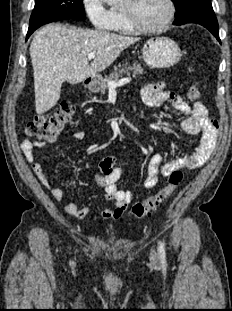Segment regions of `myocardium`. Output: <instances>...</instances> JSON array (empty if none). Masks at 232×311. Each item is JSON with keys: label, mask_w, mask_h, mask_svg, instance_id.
I'll list each match as a JSON object with an SVG mask.
<instances>
[{"label": "myocardium", "mask_w": 232, "mask_h": 311, "mask_svg": "<svg viewBox=\"0 0 232 311\" xmlns=\"http://www.w3.org/2000/svg\"><path fill=\"white\" fill-rule=\"evenodd\" d=\"M165 2L168 8L167 15L161 23L153 27H146L139 24L135 19L132 9L130 7L123 6V12L126 17L127 23L133 31L142 34H153L163 31L171 23L175 15V4L173 0H165Z\"/></svg>", "instance_id": "obj_1"}]
</instances>
